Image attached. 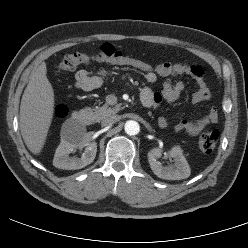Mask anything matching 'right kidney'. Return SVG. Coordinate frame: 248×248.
<instances>
[{
  "mask_svg": "<svg viewBox=\"0 0 248 248\" xmlns=\"http://www.w3.org/2000/svg\"><path fill=\"white\" fill-rule=\"evenodd\" d=\"M83 134L84 132L81 133V136H83ZM84 147L85 151L81 158L69 156L74 149H82ZM96 152L97 145L95 142L84 141L82 140V137L75 138L73 136L62 134L61 142L54 155L53 165L56 168L65 170L81 169L94 161Z\"/></svg>",
  "mask_w": 248,
  "mask_h": 248,
  "instance_id": "1",
  "label": "right kidney"
}]
</instances>
